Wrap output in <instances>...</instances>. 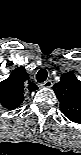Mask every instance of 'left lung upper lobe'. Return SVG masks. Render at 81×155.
<instances>
[{"label":"left lung upper lobe","instance_id":"obj_1","mask_svg":"<svg viewBox=\"0 0 81 155\" xmlns=\"http://www.w3.org/2000/svg\"><path fill=\"white\" fill-rule=\"evenodd\" d=\"M53 90L60 102L62 113L72 122H81V82L72 72L61 75Z\"/></svg>","mask_w":81,"mask_h":155}]
</instances>
